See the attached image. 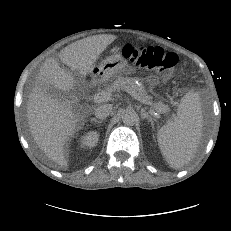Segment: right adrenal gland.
Instances as JSON below:
<instances>
[{
  "instance_id": "right-adrenal-gland-1",
  "label": "right adrenal gland",
  "mask_w": 231,
  "mask_h": 231,
  "mask_svg": "<svg viewBox=\"0 0 231 231\" xmlns=\"http://www.w3.org/2000/svg\"><path fill=\"white\" fill-rule=\"evenodd\" d=\"M91 122L102 123L103 120H98V119H96V118H91Z\"/></svg>"
}]
</instances>
